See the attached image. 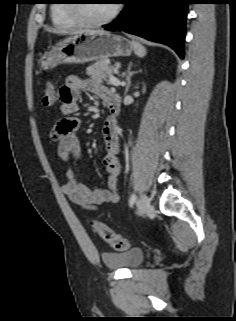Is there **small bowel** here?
Wrapping results in <instances>:
<instances>
[{"label": "small bowel", "mask_w": 236, "mask_h": 321, "mask_svg": "<svg viewBox=\"0 0 236 321\" xmlns=\"http://www.w3.org/2000/svg\"><path fill=\"white\" fill-rule=\"evenodd\" d=\"M86 91L104 101L109 100L111 90L95 79L82 80L76 75L66 78L60 88V118L52 127L50 136L57 143V153L66 162L80 163L82 160L81 144L77 137L80 120L73 115L79 110L81 92ZM105 144L103 164L108 173L107 188L90 190L78 179V171L70 168L66 171V183L62 191L69 199L82 208L96 209L98 206L119 200L118 179L121 174V163L118 158L119 131L116 120L108 116L102 128Z\"/></svg>", "instance_id": "1"}]
</instances>
